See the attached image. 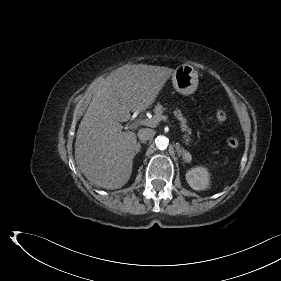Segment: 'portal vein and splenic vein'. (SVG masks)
<instances>
[{
  "label": "portal vein and splenic vein",
  "instance_id": "obj_1",
  "mask_svg": "<svg viewBox=\"0 0 281 281\" xmlns=\"http://www.w3.org/2000/svg\"><path fill=\"white\" fill-rule=\"evenodd\" d=\"M161 118H162V120H166L167 119V117L164 116V115H162ZM141 123L143 125H146V126H155L158 123V121L153 120V119H144Z\"/></svg>",
  "mask_w": 281,
  "mask_h": 281
}]
</instances>
